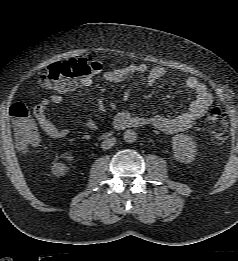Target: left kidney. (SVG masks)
I'll return each mask as SVG.
<instances>
[{"label":"left kidney","mask_w":238,"mask_h":261,"mask_svg":"<svg viewBox=\"0 0 238 261\" xmlns=\"http://www.w3.org/2000/svg\"><path fill=\"white\" fill-rule=\"evenodd\" d=\"M174 158L182 163H190L196 157V144L193 139L185 134L172 137Z\"/></svg>","instance_id":"5707ae66"}]
</instances>
